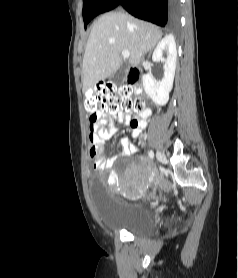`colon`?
Here are the masks:
<instances>
[{"label":"colon","instance_id":"1","mask_svg":"<svg viewBox=\"0 0 238 278\" xmlns=\"http://www.w3.org/2000/svg\"><path fill=\"white\" fill-rule=\"evenodd\" d=\"M124 112L141 113L147 110L145 101L137 96L134 86H122L103 84L87 92L85 97V111L93 126L101 113Z\"/></svg>","mask_w":238,"mask_h":278}]
</instances>
